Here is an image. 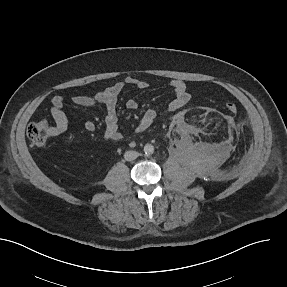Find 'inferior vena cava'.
<instances>
[{"label": "inferior vena cava", "mask_w": 287, "mask_h": 287, "mask_svg": "<svg viewBox=\"0 0 287 287\" xmlns=\"http://www.w3.org/2000/svg\"><path fill=\"white\" fill-rule=\"evenodd\" d=\"M139 156V153L133 150L126 151L124 154V158L127 161L135 160Z\"/></svg>", "instance_id": "602c4592"}]
</instances>
